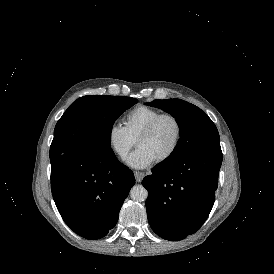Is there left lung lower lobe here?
I'll use <instances>...</instances> for the list:
<instances>
[{"label": "left lung lower lobe", "mask_w": 274, "mask_h": 274, "mask_svg": "<svg viewBox=\"0 0 274 274\" xmlns=\"http://www.w3.org/2000/svg\"><path fill=\"white\" fill-rule=\"evenodd\" d=\"M220 149H203L160 163L142 184L148 190V221L160 237L178 241L195 233L207 219L218 185Z\"/></svg>", "instance_id": "obj_1"}]
</instances>
